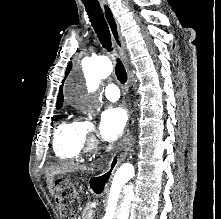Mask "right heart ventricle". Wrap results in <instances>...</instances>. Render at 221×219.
<instances>
[{
  "label": "right heart ventricle",
  "instance_id": "e07e8e85",
  "mask_svg": "<svg viewBox=\"0 0 221 219\" xmlns=\"http://www.w3.org/2000/svg\"><path fill=\"white\" fill-rule=\"evenodd\" d=\"M84 123L79 120L63 121L54 133L53 150L63 161H76L85 152Z\"/></svg>",
  "mask_w": 221,
  "mask_h": 219
}]
</instances>
